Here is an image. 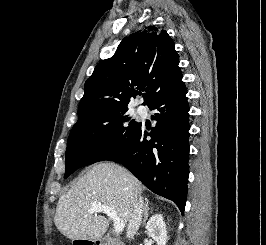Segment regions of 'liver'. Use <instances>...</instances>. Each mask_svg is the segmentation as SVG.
I'll return each instance as SVG.
<instances>
[{"label": "liver", "instance_id": "6515ba94", "mask_svg": "<svg viewBox=\"0 0 266 245\" xmlns=\"http://www.w3.org/2000/svg\"><path fill=\"white\" fill-rule=\"evenodd\" d=\"M134 191L141 193V183L127 169L115 163H98L60 197L54 223L67 239L93 241L106 233L109 221L91 213V205L102 203L112 207L127 225Z\"/></svg>", "mask_w": 266, "mask_h": 245}]
</instances>
